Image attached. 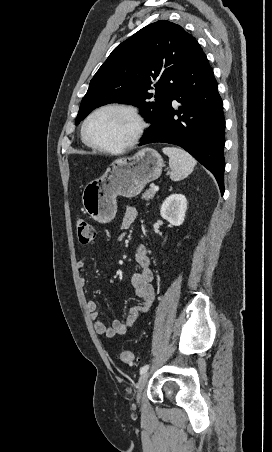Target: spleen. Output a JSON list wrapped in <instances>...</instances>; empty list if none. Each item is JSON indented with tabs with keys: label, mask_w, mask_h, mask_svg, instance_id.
<instances>
[{
	"label": "spleen",
	"mask_w": 272,
	"mask_h": 452,
	"mask_svg": "<svg viewBox=\"0 0 272 452\" xmlns=\"http://www.w3.org/2000/svg\"><path fill=\"white\" fill-rule=\"evenodd\" d=\"M162 151L169 157L172 181H180L191 174L197 162L188 152L177 147H164Z\"/></svg>",
	"instance_id": "obj_1"
}]
</instances>
